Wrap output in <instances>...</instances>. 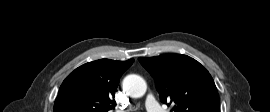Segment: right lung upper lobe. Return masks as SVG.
<instances>
[{
  "mask_svg": "<svg viewBox=\"0 0 270 112\" xmlns=\"http://www.w3.org/2000/svg\"><path fill=\"white\" fill-rule=\"evenodd\" d=\"M134 59H100L75 69L63 81L54 112H107L116 105L113 96L121 75Z\"/></svg>",
  "mask_w": 270,
  "mask_h": 112,
  "instance_id": "right-lung-upper-lobe-1",
  "label": "right lung upper lobe"
}]
</instances>
